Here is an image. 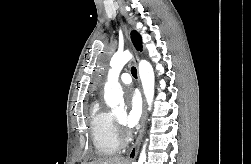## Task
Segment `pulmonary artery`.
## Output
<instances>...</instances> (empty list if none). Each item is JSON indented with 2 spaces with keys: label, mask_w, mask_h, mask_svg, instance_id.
<instances>
[{
  "label": "pulmonary artery",
  "mask_w": 251,
  "mask_h": 164,
  "mask_svg": "<svg viewBox=\"0 0 251 164\" xmlns=\"http://www.w3.org/2000/svg\"><path fill=\"white\" fill-rule=\"evenodd\" d=\"M120 81L123 83V84H130L132 82V78L130 76L129 73H123L121 76H120Z\"/></svg>",
  "instance_id": "e3ab8cb5"
}]
</instances>
